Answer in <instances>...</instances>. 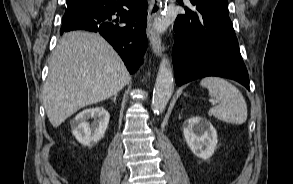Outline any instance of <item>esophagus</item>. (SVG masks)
Returning a JSON list of instances; mask_svg holds the SVG:
<instances>
[{
    "label": "esophagus",
    "mask_w": 293,
    "mask_h": 184,
    "mask_svg": "<svg viewBox=\"0 0 293 184\" xmlns=\"http://www.w3.org/2000/svg\"><path fill=\"white\" fill-rule=\"evenodd\" d=\"M161 1L149 0L148 20H147V36L150 41L153 52L160 56L162 53L161 38L155 29V22L161 13Z\"/></svg>",
    "instance_id": "esophagus-1"
}]
</instances>
